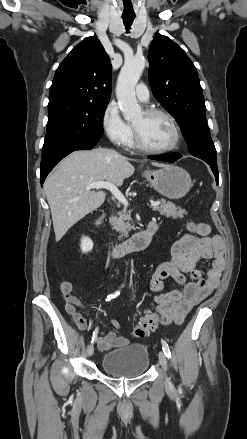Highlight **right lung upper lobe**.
<instances>
[{
    "label": "right lung upper lobe",
    "mask_w": 247,
    "mask_h": 439,
    "mask_svg": "<svg viewBox=\"0 0 247 439\" xmlns=\"http://www.w3.org/2000/svg\"><path fill=\"white\" fill-rule=\"evenodd\" d=\"M110 95L109 57L96 37H87L57 68L48 105L61 101L108 103Z\"/></svg>",
    "instance_id": "cb5924a9"
}]
</instances>
